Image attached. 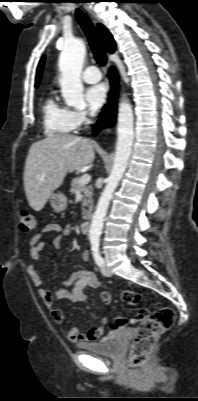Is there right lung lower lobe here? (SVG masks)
I'll use <instances>...</instances> for the list:
<instances>
[{
	"instance_id": "98d812e1",
	"label": "right lung lower lobe",
	"mask_w": 198,
	"mask_h": 401,
	"mask_svg": "<svg viewBox=\"0 0 198 401\" xmlns=\"http://www.w3.org/2000/svg\"><path fill=\"white\" fill-rule=\"evenodd\" d=\"M109 77H110V80L112 83V89H113V94H112L111 98H115L118 77L113 68H111L109 70ZM102 112L103 113L101 114V117L98 120V122L95 125V128L93 130L94 134H97L99 132V130L103 127V123L106 124L107 126H112V124L114 123V119H115V115H116L115 106H106V107H104Z\"/></svg>"
}]
</instances>
